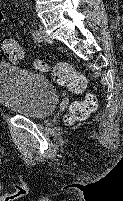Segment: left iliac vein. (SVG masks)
<instances>
[{"label": "left iliac vein", "mask_w": 123, "mask_h": 201, "mask_svg": "<svg viewBox=\"0 0 123 201\" xmlns=\"http://www.w3.org/2000/svg\"><path fill=\"white\" fill-rule=\"evenodd\" d=\"M39 38L37 41H46L48 43H52V38L46 34L45 29L43 27H40L38 30Z\"/></svg>", "instance_id": "obj_1"}]
</instances>
